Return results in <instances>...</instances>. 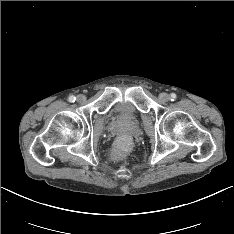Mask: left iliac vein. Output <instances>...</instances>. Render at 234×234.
<instances>
[{
    "mask_svg": "<svg viewBox=\"0 0 234 234\" xmlns=\"http://www.w3.org/2000/svg\"><path fill=\"white\" fill-rule=\"evenodd\" d=\"M159 99L162 101V102H167L169 100V95L167 93H161L159 95Z\"/></svg>",
    "mask_w": 234,
    "mask_h": 234,
    "instance_id": "left-iliac-vein-1",
    "label": "left iliac vein"
}]
</instances>
